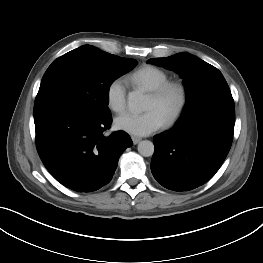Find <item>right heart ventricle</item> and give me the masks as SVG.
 <instances>
[{
	"instance_id": "obj_1",
	"label": "right heart ventricle",
	"mask_w": 263,
	"mask_h": 263,
	"mask_svg": "<svg viewBox=\"0 0 263 263\" xmlns=\"http://www.w3.org/2000/svg\"><path fill=\"white\" fill-rule=\"evenodd\" d=\"M168 79L169 76L165 71L152 65L142 66L127 76V80L131 84L148 91L156 89L167 82Z\"/></svg>"
}]
</instances>
